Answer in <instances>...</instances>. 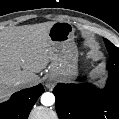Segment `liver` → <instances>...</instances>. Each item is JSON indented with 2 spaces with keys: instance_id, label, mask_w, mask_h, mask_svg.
<instances>
[{
  "instance_id": "1",
  "label": "liver",
  "mask_w": 119,
  "mask_h": 119,
  "mask_svg": "<svg viewBox=\"0 0 119 119\" xmlns=\"http://www.w3.org/2000/svg\"><path fill=\"white\" fill-rule=\"evenodd\" d=\"M54 22H46L0 33V101L15 90V81L29 77L25 86L37 82L36 73L51 58L48 32Z\"/></svg>"
}]
</instances>
